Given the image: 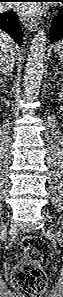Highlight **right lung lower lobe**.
<instances>
[{
    "mask_svg": "<svg viewBox=\"0 0 63 297\" xmlns=\"http://www.w3.org/2000/svg\"><path fill=\"white\" fill-rule=\"evenodd\" d=\"M0 29L7 32L16 43L22 44V31L16 13L13 11L0 13Z\"/></svg>",
    "mask_w": 63,
    "mask_h": 297,
    "instance_id": "right-lung-lower-lobe-1",
    "label": "right lung lower lobe"
}]
</instances>
